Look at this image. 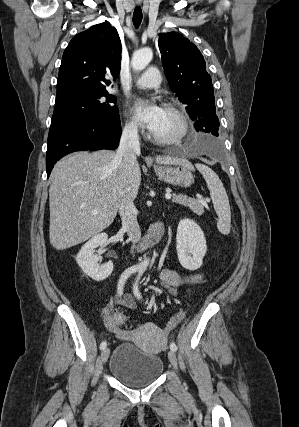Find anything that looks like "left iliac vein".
I'll list each match as a JSON object with an SVG mask.
<instances>
[{
    "mask_svg": "<svg viewBox=\"0 0 299 427\" xmlns=\"http://www.w3.org/2000/svg\"><path fill=\"white\" fill-rule=\"evenodd\" d=\"M168 358L175 369L178 368L176 354L173 350L168 352Z\"/></svg>",
    "mask_w": 299,
    "mask_h": 427,
    "instance_id": "1",
    "label": "left iliac vein"
}]
</instances>
